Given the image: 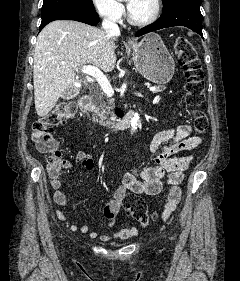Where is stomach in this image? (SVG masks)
Instances as JSON below:
<instances>
[{"label":"stomach","instance_id":"0dacf381","mask_svg":"<svg viewBox=\"0 0 240 281\" xmlns=\"http://www.w3.org/2000/svg\"><path fill=\"white\" fill-rule=\"evenodd\" d=\"M136 69L149 81L165 84L173 77L175 62L159 35H146L139 43L128 46Z\"/></svg>","mask_w":240,"mask_h":281}]
</instances>
